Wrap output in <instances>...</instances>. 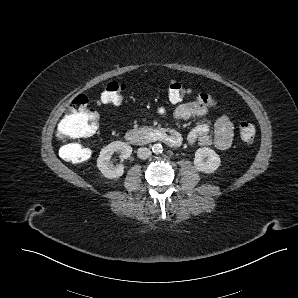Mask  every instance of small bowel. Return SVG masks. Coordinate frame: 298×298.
<instances>
[{"label":"small bowel","instance_id":"small-bowel-1","mask_svg":"<svg viewBox=\"0 0 298 298\" xmlns=\"http://www.w3.org/2000/svg\"><path fill=\"white\" fill-rule=\"evenodd\" d=\"M216 101L207 94H199L189 102L178 103L171 115L177 120H186L195 116H205L211 109L216 108ZM157 113L166 115L168 110L159 106ZM233 124L228 115L223 114L214 123L213 133L211 124L203 122L194 127L188 134L190 143L197 142L201 146H215L219 150H227L233 141Z\"/></svg>","mask_w":298,"mask_h":298}]
</instances>
